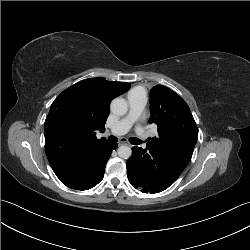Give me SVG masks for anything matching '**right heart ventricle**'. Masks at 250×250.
I'll return each mask as SVG.
<instances>
[{
  "mask_svg": "<svg viewBox=\"0 0 250 250\" xmlns=\"http://www.w3.org/2000/svg\"><path fill=\"white\" fill-rule=\"evenodd\" d=\"M132 92H141L144 93V89L142 87H136L132 90Z\"/></svg>",
  "mask_w": 250,
  "mask_h": 250,
  "instance_id": "obj_1",
  "label": "right heart ventricle"
}]
</instances>
